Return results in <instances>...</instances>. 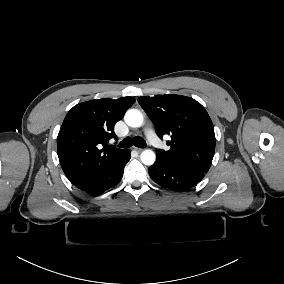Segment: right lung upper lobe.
I'll return each mask as SVG.
<instances>
[{
  "label": "right lung upper lobe",
  "mask_w": 284,
  "mask_h": 284,
  "mask_svg": "<svg viewBox=\"0 0 284 284\" xmlns=\"http://www.w3.org/2000/svg\"><path fill=\"white\" fill-rule=\"evenodd\" d=\"M135 99L103 98L82 102L67 113L57 137V152L67 178L79 189L98 179L127 149L109 148L114 125Z\"/></svg>",
  "instance_id": "right-lung-upper-lobe-1"
}]
</instances>
